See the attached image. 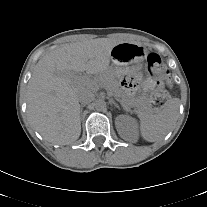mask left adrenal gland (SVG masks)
Returning <instances> with one entry per match:
<instances>
[{"mask_svg": "<svg viewBox=\"0 0 207 207\" xmlns=\"http://www.w3.org/2000/svg\"><path fill=\"white\" fill-rule=\"evenodd\" d=\"M111 104H113L116 108L120 109V106L116 102L111 101Z\"/></svg>", "mask_w": 207, "mask_h": 207, "instance_id": "a2214340", "label": "left adrenal gland"}]
</instances>
